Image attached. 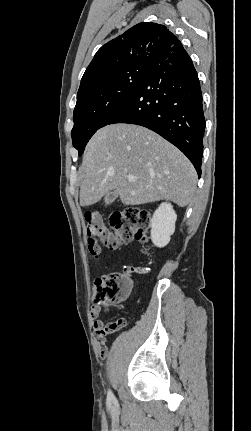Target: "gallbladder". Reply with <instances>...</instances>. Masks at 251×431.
<instances>
[{
	"label": "gallbladder",
	"mask_w": 251,
	"mask_h": 431,
	"mask_svg": "<svg viewBox=\"0 0 251 431\" xmlns=\"http://www.w3.org/2000/svg\"><path fill=\"white\" fill-rule=\"evenodd\" d=\"M117 197H118V195L114 192L106 195L104 198L105 205L106 206L110 205L111 203H113L117 199Z\"/></svg>",
	"instance_id": "bac80fb5"
}]
</instances>
